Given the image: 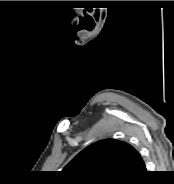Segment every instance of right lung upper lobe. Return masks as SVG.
<instances>
[{
    "label": "right lung upper lobe",
    "instance_id": "obj_1",
    "mask_svg": "<svg viewBox=\"0 0 174 184\" xmlns=\"http://www.w3.org/2000/svg\"><path fill=\"white\" fill-rule=\"evenodd\" d=\"M146 170L140 154L128 143L105 139L81 151L63 170L73 183H122Z\"/></svg>",
    "mask_w": 174,
    "mask_h": 184
}]
</instances>
